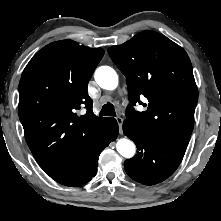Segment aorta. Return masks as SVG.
Returning <instances> with one entry per match:
<instances>
[{"label":"aorta","mask_w":221,"mask_h":221,"mask_svg":"<svg viewBox=\"0 0 221 221\" xmlns=\"http://www.w3.org/2000/svg\"><path fill=\"white\" fill-rule=\"evenodd\" d=\"M95 80L101 88L106 90H114L118 86V75L109 66L99 67L95 71ZM116 149L125 158L133 157L136 152L135 144L126 138H121L117 141Z\"/></svg>","instance_id":"aorta-1"}]
</instances>
